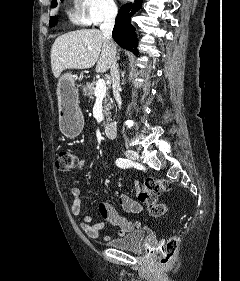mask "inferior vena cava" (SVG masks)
<instances>
[{"label":"inferior vena cava","instance_id":"obj_1","mask_svg":"<svg viewBox=\"0 0 240 281\" xmlns=\"http://www.w3.org/2000/svg\"><path fill=\"white\" fill-rule=\"evenodd\" d=\"M117 12H118V9H117L116 5L109 6L107 9V12L105 14L104 21L100 26V30H101L103 36L111 44H113L112 31L114 28ZM115 55H116V52L114 50H112L110 74H111V79H112L113 95L115 97L116 102L120 105L121 104V97H120V93H119L120 77H119L118 64L116 62Z\"/></svg>","mask_w":240,"mask_h":281}]
</instances>
